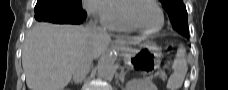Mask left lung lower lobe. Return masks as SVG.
Wrapping results in <instances>:
<instances>
[{"instance_id":"0a47b994","label":"left lung lower lobe","mask_w":228,"mask_h":90,"mask_svg":"<svg viewBox=\"0 0 228 90\" xmlns=\"http://www.w3.org/2000/svg\"><path fill=\"white\" fill-rule=\"evenodd\" d=\"M182 35H184V36L187 37V38L189 37V34H182Z\"/></svg>"}]
</instances>
